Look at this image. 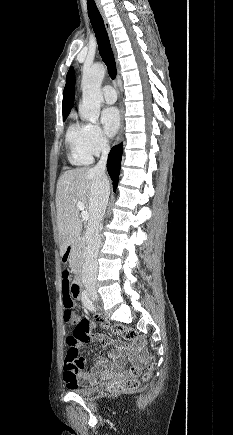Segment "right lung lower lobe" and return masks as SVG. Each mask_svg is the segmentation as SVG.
<instances>
[{
	"label": "right lung lower lobe",
	"mask_w": 233,
	"mask_h": 435,
	"mask_svg": "<svg viewBox=\"0 0 233 435\" xmlns=\"http://www.w3.org/2000/svg\"><path fill=\"white\" fill-rule=\"evenodd\" d=\"M122 153H123V145L121 143L117 146H114L108 155L107 170L113 181L114 191H116L117 183L119 179Z\"/></svg>",
	"instance_id": "98d812e1"
}]
</instances>
